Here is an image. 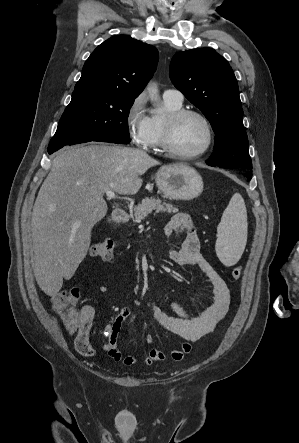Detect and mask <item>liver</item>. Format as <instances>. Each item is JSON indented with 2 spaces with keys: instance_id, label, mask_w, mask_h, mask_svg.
<instances>
[{
  "instance_id": "1",
  "label": "liver",
  "mask_w": 299,
  "mask_h": 443,
  "mask_svg": "<svg viewBox=\"0 0 299 443\" xmlns=\"http://www.w3.org/2000/svg\"><path fill=\"white\" fill-rule=\"evenodd\" d=\"M159 164L123 146L91 144L57 153L31 218L34 276L45 294L57 295L85 258L92 229L107 213L104 193L136 194L140 176Z\"/></svg>"
}]
</instances>
